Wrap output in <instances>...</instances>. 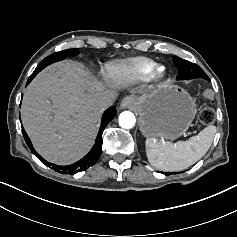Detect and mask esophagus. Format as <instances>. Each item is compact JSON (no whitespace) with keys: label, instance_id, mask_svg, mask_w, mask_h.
<instances>
[{"label":"esophagus","instance_id":"obj_1","mask_svg":"<svg viewBox=\"0 0 237 237\" xmlns=\"http://www.w3.org/2000/svg\"><path fill=\"white\" fill-rule=\"evenodd\" d=\"M138 105V101H137V98L133 97V96H127L125 97L121 104H120V107L122 109H135Z\"/></svg>","mask_w":237,"mask_h":237}]
</instances>
